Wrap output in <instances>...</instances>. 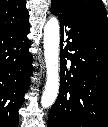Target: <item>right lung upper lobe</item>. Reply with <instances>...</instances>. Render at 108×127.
<instances>
[{
  "instance_id": "obj_1",
  "label": "right lung upper lobe",
  "mask_w": 108,
  "mask_h": 127,
  "mask_svg": "<svg viewBox=\"0 0 108 127\" xmlns=\"http://www.w3.org/2000/svg\"><path fill=\"white\" fill-rule=\"evenodd\" d=\"M26 0L0 1V33L12 31L29 24Z\"/></svg>"
}]
</instances>
